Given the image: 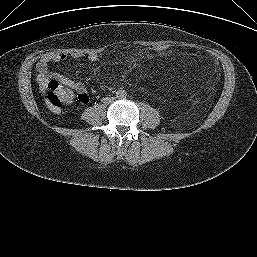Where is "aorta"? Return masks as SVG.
Wrapping results in <instances>:
<instances>
[{
  "label": "aorta",
  "mask_w": 257,
  "mask_h": 257,
  "mask_svg": "<svg viewBox=\"0 0 257 257\" xmlns=\"http://www.w3.org/2000/svg\"><path fill=\"white\" fill-rule=\"evenodd\" d=\"M116 96H117L119 99H123V98H126L127 93H126V91H124V90H119V91H117Z\"/></svg>",
  "instance_id": "aorta-1"
}]
</instances>
